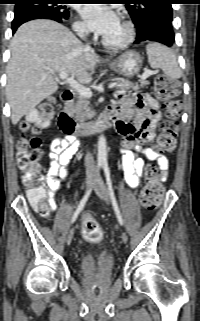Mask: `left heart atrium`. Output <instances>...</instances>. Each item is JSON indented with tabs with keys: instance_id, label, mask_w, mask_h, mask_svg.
Here are the masks:
<instances>
[{
	"instance_id": "39dd6f15",
	"label": "left heart atrium",
	"mask_w": 200,
	"mask_h": 321,
	"mask_svg": "<svg viewBox=\"0 0 200 321\" xmlns=\"http://www.w3.org/2000/svg\"><path fill=\"white\" fill-rule=\"evenodd\" d=\"M81 15L87 26L102 36L108 34L119 22L115 11L103 4L84 5Z\"/></svg>"
}]
</instances>
